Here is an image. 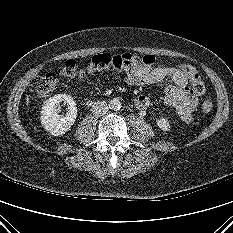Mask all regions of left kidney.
Instances as JSON below:
<instances>
[{
	"mask_svg": "<svg viewBox=\"0 0 233 233\" xmlns=\"http://www.w3.org/2000/svg\"><path fill=\"white\" fill-rule=\"evenodd\" d=\"M157 126L163 131L170 130V123L166 118H159L156 120Z\"/></svg>",
	"mask_w": 233,
	"mask_h": 233,
	"instance_id": "5707ae66",
	"label": "left kidney"
}]
</instances>
